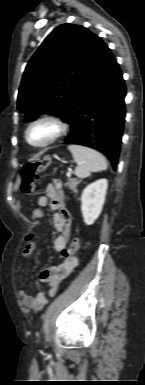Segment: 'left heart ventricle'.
I'll list each match as a JSON object with an SVG mask.
<instances>
[{
	"mask_svg": "<svg viewBox=\"0 0 145 385\" xmlns=\"http://www.w3.org/2000/svg\"><path fill=\"white\" fill-rule=\"evenodd\" d=\"M55 132V128L48 123L36 125L29 134L30 141L40 144L47 141Z\"/></svg>",
	"mask_w": 145,
	"mask_h": 385,
	"instance_id": "1",
	"label": "left heart ventricle"
}]
</instances>
